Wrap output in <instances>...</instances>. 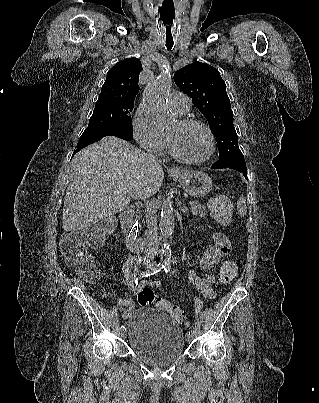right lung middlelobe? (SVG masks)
I'll return each instance as SVG.
<instances>
[{
    "mask_svg": "<svg viewBox=\"0 0 319 403\" xmlns=\"http://www.w3.org/2000/svg\"><path fill=\"white\" fill-rule=\"evenodd\" d=\"M133 107L134 104L96 103L88 127L114 126L132 133Z\"/></svg>",
    "mask_w": 319,
    "mask_h": 403,
    "instance_id": "right-lung-middle-lobe-1",
    "label": "right lung middle lobe"
}]
</instances>
